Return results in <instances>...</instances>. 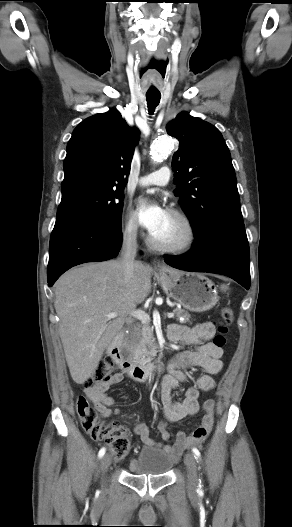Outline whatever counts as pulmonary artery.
<instances>
[{"instance_id":"e3ab8cb5","label":"pulmonary artery","mask_w":292,"mask_h":527,"mask_svg":"<svg viewBox=\"0 0 292 527\" xmlns=\"http://www.w3.org/2000/svg\"><path fill=\"white\" fill-rule=\"evenodd\" d=\"M170 176V169L162 167L156 172L141 177L138 183L141 186H165L168 184Z\"/></svg>"}]
</instances>
